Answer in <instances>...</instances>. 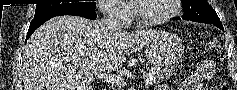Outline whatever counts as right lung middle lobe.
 Segmentation results:
<instances>
[{
	"label": "right lung middle lobe",
	"mask_w": 237,
	"mask_h": 90,
	"mask_svg": "<svg viewBox=\"0 0 237 90\" xmlns=\"http://www.w3.org/2000/svg\"><path fill=\"white\" fill-rule=\"evenodd\" d=\"M73 8L95 10L96 3L95 2H89V3L79 2V3L37 4L34 18L48 15L57 11H61L65 9H73Z\"/></svg>",
	"instance_id": "obj_1"
}]
</instances>
